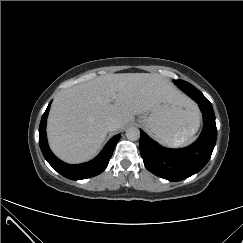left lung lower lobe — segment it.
I'll return each instance as SVG.
<instances>
[{
    "instance_id": "obj_1",
    "label": "left lung lower lobe",
    "mask_w": 243,
    "mask_h": 243,
    "mask_svg": "<svg viewBox=\"0 0 243 243\" xmlns=\"http://www.w3.org/2000/svg\"><path fill=\"white\" fill-rule=\"evenodd\" d=\"M178 87L198 103L203 113L204 127L197 141L186 148L167 149L140 130V153L145 167L169 181H180L199 172L209 161L217 138L215 114L209 100L190 83Z\"/></svg>"
}]
</instances>
